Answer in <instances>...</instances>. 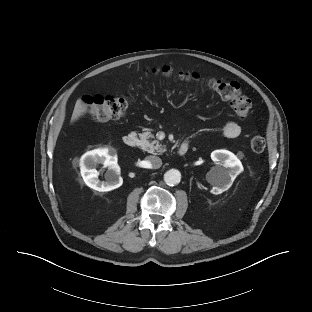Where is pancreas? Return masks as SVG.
<instances>
[{"label":"pancreas","mask_w":312,"mask_h":312,"mask_svg":"<svg viewBox=\"0 0 312 312\" xmlns=\"http://www.w3.org/2000/svg\"><path fill=\"white\" fill-rule=\"evenodd\" d=\"M140 138V146L144 151L152 154H162L166 151V146L162 145L157 140H149L150 138H154V135L149 131H145L139 134Z\"/></svg>","instance_id":"pancreas-1"}]
</instances>
